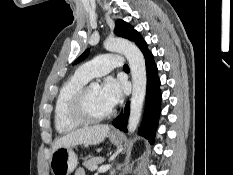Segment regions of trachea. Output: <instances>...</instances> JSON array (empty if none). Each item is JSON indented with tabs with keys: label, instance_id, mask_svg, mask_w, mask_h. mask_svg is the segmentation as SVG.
<instances>
[{
	"label": "trachea",
	"instance_id": "obj_1",
	"mask_svg": "<svg viewBox=\"0 0 233 175\" xmlns=\"http://www.w3.org/2000/svg\"><path fill=\"white\" fill-rule=\"evenodd\" d=\"M123 69H124V70H129V66H128L127 64H125V65L123 66Z\"/></svg>",
	"mask_w": 233,
	"mask_h": 175
}]
</instances>
